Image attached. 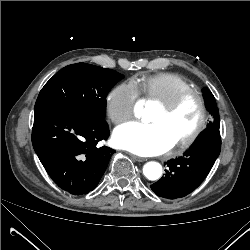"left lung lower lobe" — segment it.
Segmentation results:
<instances>
[{
    "label": "left lung lower lobe",
    "mask_w": 250,
    "mask_h": 250,
    "mask_svg": "<svg viewBox=\"0 0 250 250\" xmlns=\"http://www.w3.org/2000/svg\"><path fill=\"white\" fill-rule=\"evenodd\" d=\"M221 150L218 129H205L183 156L168 161L166 174L151 185L164 198H181L192 192L208 175Z\"/></svg>",
    "instance_id": "0a47b994"
}]
</instances>
